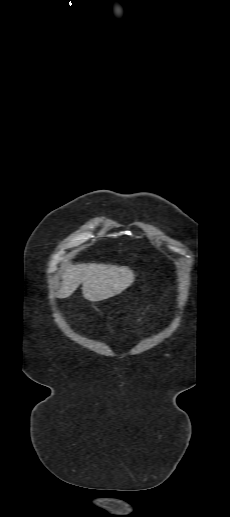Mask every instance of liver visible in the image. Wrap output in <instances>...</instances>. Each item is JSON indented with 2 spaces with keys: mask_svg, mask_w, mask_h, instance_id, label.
Masks as SVG:
<instances>
[{
  "mask_svg": "<svg viewBox=\"0 0 230 517\" xmlns=\"http://www.w3.org/2000/svg\"><path fill=\"white\" fill-rule=\"evenodd\" d=\"M135 275L127 266L103 263H81L67 266L62 274L58 297L67 298L82 284L83 297L99 302L127 289Z\"/></svg>",
  "mask_w": 230,
  "mask_h": 517,
  "instance_id": "liver-1",
  "label": "liver"
}]
</instances>
